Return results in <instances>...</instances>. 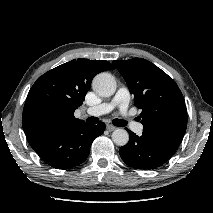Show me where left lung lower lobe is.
I'll list each match as a JSON object with an SVG mask.
<instances>
[{
    "instance_id": "left-lung-lower-lobe-1",
    "label": "left lung lower lobe",
    "mask_w": 213,
    "mask_h": 213,
    "mask_svg": "<svg viewBox=\"0 0 213 213\" xmlns=\"http://www.w3.org/2000/svg\"><path fill=\"white\" fill-rule=\"evenodd\" d=\"M178 146L145 132L138 136L129 131V142L120 148V156L128 166L135 169H156L170 159Z\"/></svg>"
}]
</instances>
